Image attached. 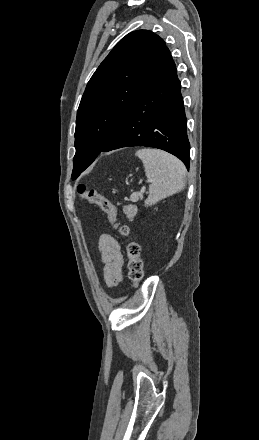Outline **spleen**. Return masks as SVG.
Segmentation results:
<instances>
[{
  "label": "spleen",
  "instance_id": "spleen-1",
  "mask_svg": "<svg viewBox=\"0 0 259 440\" xmlns=\"http://www.w3.org/2000/svg\"><path fill=\"white\" fill-rule=\"evenodd\" d=\"M144 165L145 174L151 181L145 206L179 193L185 187L186 169L173 155L158 149H140L136 152Z\"/></svg>",
  "mask_w": 259,
  "mask_h": 440
}]
</instances>
